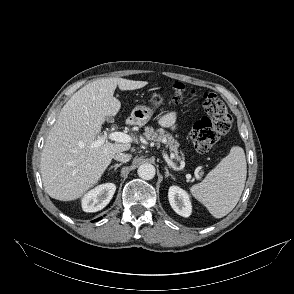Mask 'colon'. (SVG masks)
<instances>
[{
	"label": "colon",
	"mask_w": 294,
	"mask_h": 294,
	"mask_svg": "<svg viewBox=\"0 0 294 294\" xmlns=\"http://www.w3.org/2000/svg\"><path fill=\"white\" fill-rule=\"evenodd\" d=\"M184 97V85L175 84L173 86L174 101L180 103ZM202 105L205 116L195 123L191 133L194 147L200 153L209 151L221 136L229 132L232 126V117L226 105L217 95L204 93Z\"/></svg>",
	"instance_id": "obj_1"
}]
</instances>
